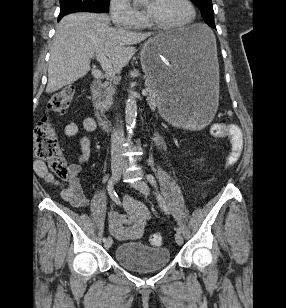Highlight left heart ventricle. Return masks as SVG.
Listing matches in <instances>:
<instances>
[{"label": "left heart ventricle", "instance_id": "left-heart-ventricle-1", "mask_svg": "<svg viewBox=\"0 0 286 308\" xmlns=\"http://www.w3.org/2000/svg\"><path fill=\"white\" fill-rule=\"evenodd\" d=\"M147 14L169 24H180L191 18V10L185 0H150L146 2Z\"/></svg>", "mask_w": 286, "mask_h": 308}]
</instances>
